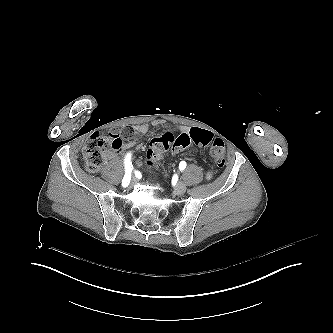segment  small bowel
Segmentation results:
<instances>
[{"label": "small bowel", "instance_id": "1", "mask_svg": "<svg viewBox=\"0 0 333 333\" xmlns=\"http://www.w3.org/2000/svg\"><path fill=\"white\" fill-rule=\"evenodd\" d=\"M154 125H165L163 121H156L154 122ZM169 127L172 125L170 122L167 124ZM177 129H179L181 126L177 124L175 126ZM184 130L181 131V134L178 137H188L190 135H197L199 137H210L212 138L211 132L205 129L201 128H191V129H186L187 127L184 125L182 127ZM149 130V125L148 124H140L134 127V132L135 136L132 141L126 144V149H133L136 145V142L139 141L140 137L144 134H146ZM212 177V173L209 172L207 174V179H210Z\"/></svg>", "mask_w": 333, "mask_h": 333}]
</instances>
